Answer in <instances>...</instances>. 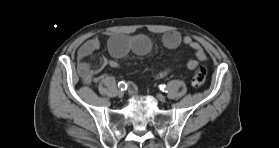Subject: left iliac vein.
I'll use <instances>...</instances> for the list:
<instances>
[{
	"instance_id": "1",
	"label": "left iliac vein",
	"mask_w": 279,
	"mask_h": 148,
	"mask_svg": "<svg viewBox=\"0 0 279 148\" xmlns=\"http://www.w3.org/2000/svg\"><path fill=\"white\" fill-rule=\"evenodd\" d=\"M156 97L158 98L159 101L161 102H165L166 101V98L164 95L162 94H157Z\"/></svg>"
}]
</instances>
